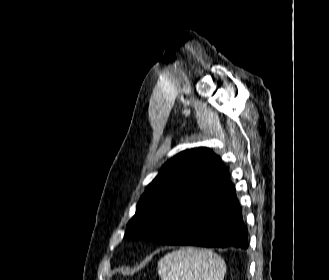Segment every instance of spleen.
I'll return each mask as SVG.
<instances>
[{
    "label": "spleen",
    "instance_id": "3e777b00",
    "mask_svg": "<svg viewBox=\"0 0 329 280\" xmlns=\"http://www.w3.org/2000/svg\"><path fill=\"white\" fill-rule=\"evenodd\" d=\"M158 274L161 280H223L226 265L211 250L187 247L161 258Z\"/></svg>",
    "mask_w": 329,
    "mask_h": 280
}]
</instances>
